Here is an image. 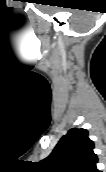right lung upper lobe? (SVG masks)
Wrapping results in <instances>:
<instances>
[{"mask_svg": "<svg viewBox=\"0 0 106 172\" xmlns=\"http://www.w3.org/2000/svg\"><path fill=\"white\" fill-rule=\"evenodd\" d=\"M94 143L86 129L73 128L63 136L52 153L40 162L44 172H99Z\"/></svg>", "mask_w": 106, "mask_h": 172, "instance_id": "1", "label": "right lung upper lobe"}]
</instances>
